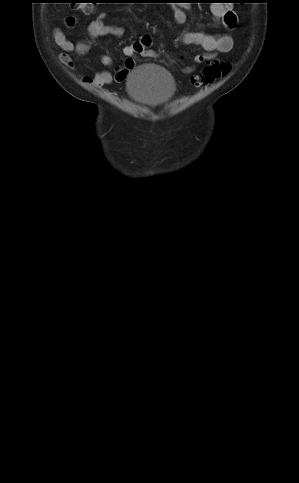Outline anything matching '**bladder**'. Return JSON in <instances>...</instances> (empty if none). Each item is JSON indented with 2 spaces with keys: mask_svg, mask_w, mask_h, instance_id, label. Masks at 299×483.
Masks as SVG:
<instances>
[{
  "mask_svg": "<svg viewBox=\"0 0 299 483\" xmlns=\"http://www.w3.org/2000/svg\"><path fill=\"white\" fill-rule=\"evenodd\" d=\"M175 91L173 77L157 65L146 64L135 68L127 79L128 95L143 105L165 102Z\"/></svg>",
  "mask_w": 299,
  "mask_h": 483,
  "instance_id": "1",
  "label": "bladder"
}]
</instances>
